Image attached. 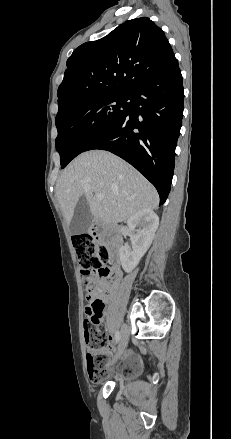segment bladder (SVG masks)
<instances>
[{
	"instance_id": "obj_1",
	"label": "bladder",
	"mask_w": 231,
	"mask_h": 439,
	"mask_svg": "<svg viewBox=\"0 0 231 439\" xmlns=\"http://www.w3.org/2000/svg\"><path fill=\"white\" fill-rule=\"evenodd\" d=\"M142 372V362L141 359L137 356L131 357L128 360V363L125 367V376L126 377H137Z\"/></svg>"
}]
</instances>
